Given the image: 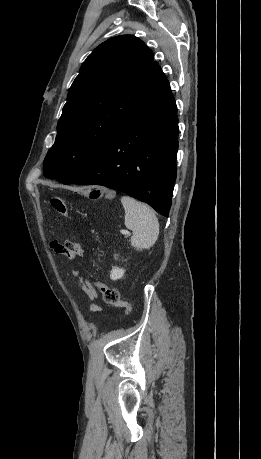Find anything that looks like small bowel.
<instances>
[{"label":"small bowel","mask_w":261,"mask_h":459,"mask_svg":"<svg viewBox=\"0 0 261 459\" xmlns=\"http://www.w3.org/2000/svg\"><path fill=\"white\" fill-rule=\"evenodd\" d=\"M53 247L55 250L59 253L65 254L69 258H76L78 256L82 255V250L79 244L72 242V241H66L63 245L58 244L57 242L53 243ZM75 275L78 276V273L75 272ZM79 281L81 283V286L83 290L91 297L94 298L96 296V292L94 288L91 286L88 280L79 277ZM93 311H98L99 307L94 305L92 307Z\"/></svg>","instance_id":"small-bowel-1"}]
</instances>
